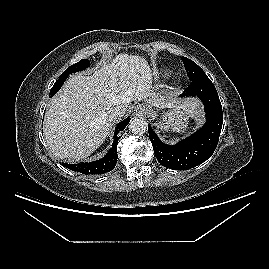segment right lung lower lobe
I'll use <instances>...</instances> for the list:
<instances>
[{
	"label": "right lung lower lobe",
	"mask_w": 269,
	"mask_h": 269,
	"mask_svg": "<svg viewBox=\"0 0 269 269\" xmlns=\"http://www.w3.org/2000/svg\"><path fill=\"white\" fill-rule=\"evenodd\" d=\"M68 76H59V79L55 82L52 89L50 90L51 96H53L57 91H59V89L61 88V86L63 85ZM130 120L131 119L128 117L117 125L115 129L114 141L112 143V147L103 158L89 163H79V164L62 163V165L72 171L80 172L86 175H99L110 172L111 170L114 169L117 163L118 158L117 144L118 140L120 139L118 134L125 129Z\"/></svg>",
	"instance_id": "98d812e1"
}]
</instances>
